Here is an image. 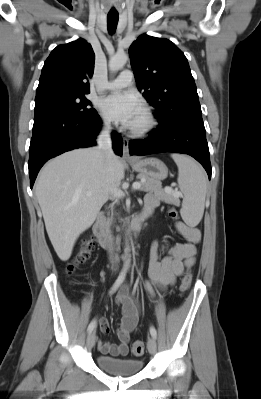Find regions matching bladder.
Segmentation results:
<instances>
[{"instance_id": "obj_1", "label": "bladder", "mask_w": 261, "mask_h": 399, "mask_svg": "<svg viewBox=\"0 0 261 399\" xmlns=\"http://www.w3.org/2000/svg\"><path fill=\"white\" fill-rule=\"evenodd\" d=\"M96 363L103 371L115 375H134L138 373L143 362L129 358H113L103 355L96 357Z\"/></svg>"}]
</instances>
